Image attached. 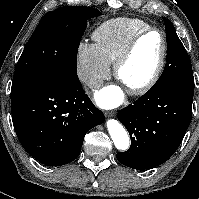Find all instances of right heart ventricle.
<instances>
[{"mask_svg": "<svg viewBox=\"0 0 199 199\" xmlns=\"http://www.w3.org/2000/svg\"><path fill=\"white\" fill-rule=\"evenodd\" d=\"M150 27L138 18L112 19L94 30L93 39L103 57L112 64L134 36Z\"/></svg>", "mask_w": 199, "mask_h": 199, "instance_id": "e07e8e85", "label": "right heart ventricle"}]
</instances>
